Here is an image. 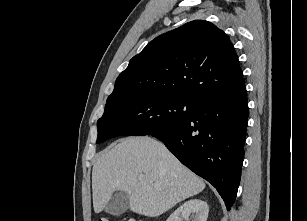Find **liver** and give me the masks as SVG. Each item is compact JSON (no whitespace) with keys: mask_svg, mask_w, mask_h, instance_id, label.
Wrapping results in <instances>:
<instances>
[{"mask_svg":"<svg viewBox=\"0 0 307 221\" xmlns=\"http://www.w3.org/2000/svg\"><path fill=\"white\" fill-rule=\"evenodd\" d=\"M143 175V179L139 176ZM205 183L150 137H128L105 150L92 170L93 208L100 213L116 191L129 195L132 212L159 216L202 192Z\"/></svg>","mask_w":307,"mask_h":221,"instance_id":"6515ba94","label":"liver"}]
</instances>
